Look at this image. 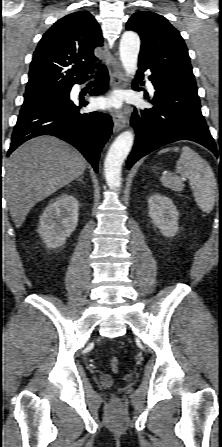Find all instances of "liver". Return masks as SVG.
<instances>
[{
  "label": "liver",
  "mask_w": 222,
  "mask_h": 447,
  "mask_svg": "<svg viewBox=\"0 0 222 447\" xmlns=\"http://www.w3.org/2000/svg\"><path fill=\"white\" fill-rule=\"evenodd\" d=\"M5 166V197L19 228L38 202L80 177L87 161L64 141L41 136L17 148Z\"/></svg>",
  "instance_id": "6515ba94"
}]
</instances>
